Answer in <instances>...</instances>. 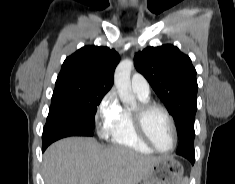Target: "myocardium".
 I'll list each match as a JSON object with an SVG mask.
<instances>
[{
	"label": "myocardium",
	"mask_w": 235,
	"mask_h": 184,
	"mask_svg": "<svg viewBox=\"0 0 235 184\" xmlns=\"http://www.w3.org/2000/svg\"><path fill=\"white\" fill-rule=\"evenodd\" d=\"M154 110L162 111L170 123L174 143L172 149L169 152H164L157 148L149 133L147 127V117ZM132 118L137 134L147 143L153 152L161 156H169L175 152L178 145V131L173 115L165 106L158 103H141L137 109L133 111Z\"/></svg>",
	"instance_id": "1"
}]
</instances>
